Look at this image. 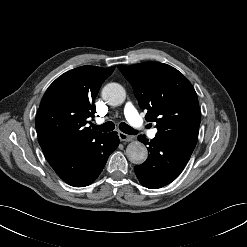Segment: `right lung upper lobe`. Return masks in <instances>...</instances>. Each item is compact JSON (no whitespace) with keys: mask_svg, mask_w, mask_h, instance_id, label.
Instances as JSON below:
<instances>
[{"mask_svg":"<svg viewBox=\"0 0 247 247\" xmlns=\"http://www.w3.org/2000/svg\"><path fill=\"white\" fill-rule=\"evenodd\" d=\"M114 67L85 65L58 77L47 89L36 115L38 141L51 161L68 146L85 143L103 134L86 127L96 112L94 100Z\"/></svg>","mask_w":247,"mask_h":247,"instance_id":"right-lung-upper-lobe-1","label":"right lung upper lobe"}]
</instances>
